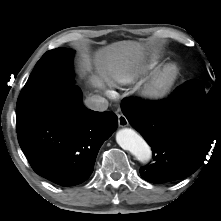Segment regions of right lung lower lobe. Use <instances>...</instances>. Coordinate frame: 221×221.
Here are the masks:
<instances>
[{"label":"right lung lower lobe","mask_w":221,"mask_h":221,"mask_svg":"<svg viewBox=\"0 0 221 221\" xmlns=\"http://www.w3.org/2000/svg\"><path fill=\"white\" fill-rule=\"evenodd\" d=\"M40 82L35 78L31 85ZM117 126L114 113L87 109L80 89L70 85L37 119L17 128V133L38 175L60 186H74L89 178L100 147Z\"/></svg>","instance_id":"1"}]
</instances>
